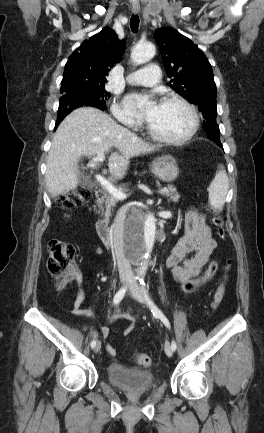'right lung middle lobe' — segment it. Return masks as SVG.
Here are the masks:
<instances>
[{
  "mask_svg": "<svg viewBox=\"0 0 264 433\" xmlns=\"http://www.w3.org/2000/svg\"><path fill=\"white\" fill-rule=\"evenodd\" d=\"M109 97L110 93L105 90L104 86L79 89L63 94L59 102L58 119L64 118L73 109L81 106L104 109Z\"/></svg>",
  "mask_w": 264,
  "mask_h": 433,
  "instance_id": "right-lung-middle-lobe-1",
  "label": "right lung middle lobe"
}]
</instances>
